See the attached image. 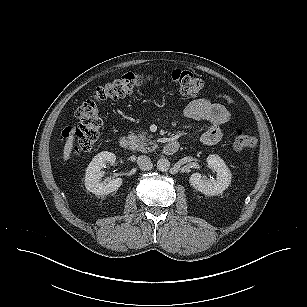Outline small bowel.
<instances>
[{
    "label": "small bowel",
    "instance_id": "c3829d8e",
    "mask_svg": "<svg viewBox=\"0 0 307 307\" xmlns=\"http://www.w3.org/2000/svg\"><path fill=\"white\" fill-rule=\"evenodd\" d=\"M217 98L228 103L232 102V99L225 94H219ZM184 114L190 119L209 123L200 136L201 142L206 145H213L221 141L222 127L226 126L231 119L229 110L223 104L205 98L191 101L186 106Z\"/></svg>",
    "mask_w": 307,
    "mask_h": 307
}]
</instances>
